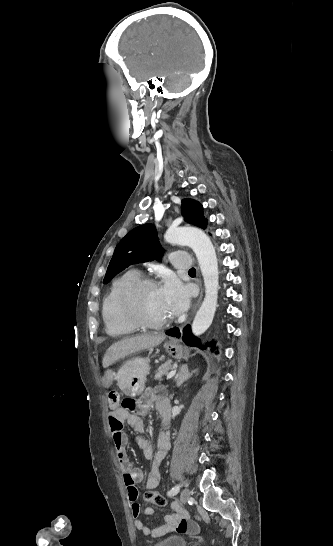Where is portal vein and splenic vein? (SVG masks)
Masks as SVG:
<instances>
[{"mask_svg": "<svg viewBox=\"0 0 333 546\" xmlns=\"http://www.w3.org/2000/svg\"><path fill=\"white\" fill-rule=\"evenodd\" d=\"M175 374H176V370L170 371L169 374L167 375V379L172 378Z\"/></svg>", "mask_w": 333, "mask_h": 546, "instance_id": "obj_1", "label": "portal vein and splenic vein"}]
</instances>
